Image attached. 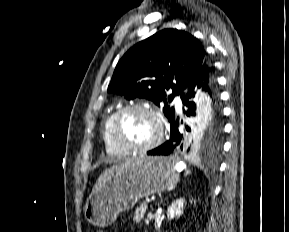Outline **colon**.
Wrapping results in <instances>:
<instances>
[{"mask_svg":"<svg viewBox=\"0 0 289 232\" xmlns=\"http://www.w3.org/2000/svg\"><path fill=\"white\" fill-rule=\"evenodd\" d=\"M95 232H103V231H101V230H97V231H95Z\"/></svg>","mask_w":289,"mask_h":232,"instance_id":"colon-1","label":"colon"}]
</instances>
